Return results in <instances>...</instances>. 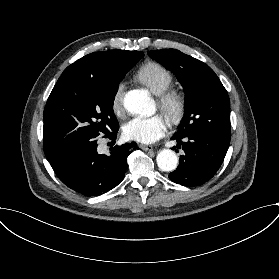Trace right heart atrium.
I'll return each mask as SVG.
<instances>
[{"label":"right heart atrium","instance_id":"1","mask_svg":"<svg viewBox=\"0 0 279 279\" xmlns=\"http://www.w3.org/2000/svg\"><path fill=\"white\" fill-rule=\"evenodd\" d=\"M124 89L125 83L122 82L118 84L111 98V110L117 116H120L122 112V96Z\"/></svg>","mask_w":279,"mask_h":279}]
</instances>
